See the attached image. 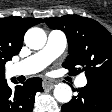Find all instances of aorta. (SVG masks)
I'll list each match as a JSON object with an SVG mask.
<instances>
[{
  "mask_svg": "<svg viewBox=\"0 0 112 112\" xmlns=\"http://www.w3.org/2000/svg\"><path fill=\"white\" fill-rule=\"evenodd\" d=\"M47 36L43 29L30 28L24 36L25 44L35 50L41 49L46 44ZM54 97L58 102L68 103L72 99V89L66 83H59L54 88Z\"/></svg>",
  "mask_w": 112,
  "mask_h": 112,
  "instance_id": "762f6f07",
  "label": "aorta"
}]
</instances>
